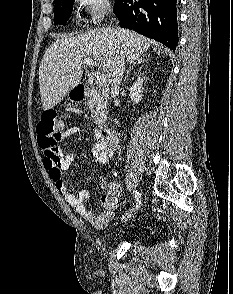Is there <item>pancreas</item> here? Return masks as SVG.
<instances>
[{
    "instance_id": "pancreas-1",
    "label": "pancreas",
    "mask_w": 233,
    "mask_h": 294,
    "mask_svg": "<svg viewBox=\"0 0 233 294\" xmlns=\"http://www.w3.org/2000/svg\"><path fill=\"white\" fill-rule=\"evenodd\" d=\"M88 106L95 124L102 128L107 120V102L97 89H92L88 95Z\"/></svg>"
}]
</instances>
